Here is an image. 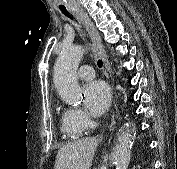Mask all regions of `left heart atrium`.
<instances>
[{"instance_id": "left-heart-atrium-1", "label": "left heart atrium", "mask_w": 177, "mask_h": 169, "mask_svg": "<svg viewBox=\"0 0 177 169\" xmlns=\"http://www.w3.org/2000/svg\"><path fill=\"white\" fill-rule=\"evenodd\" d=\"M86 109L94 116L103 114L110 104V89L101 80H94L85 84L83 88Z\"/></svg>"}]
</instances>
